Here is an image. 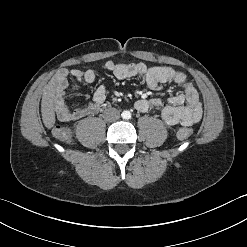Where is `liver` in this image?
Masks as SVG:
<instances>
[{
	"instance_id": "obj_1",
	"label": "liver",
	"mask_w": 247,
	"mask_h": 247,
	"mask_svg": "<svg viewBox=\"0 0 247 247\" xmlns=\"http://www.w3.org/2000/svg\"><path fill=\"white\" fill-rule=\"evenodd\" d=\"M56 81L51 79L44 87L41 101L42 120L46 128L51 129L55 124L54 99L56 93Z\"/></svg>"
}]
</instances>
